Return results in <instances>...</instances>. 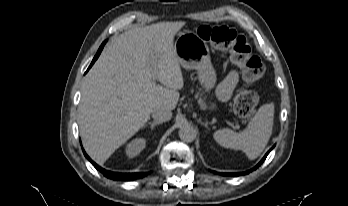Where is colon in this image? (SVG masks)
<instances>
[{
    "mask_svg": "<svg viewBox=\"0 0 348 206\" xmlns=\"http://www.w3.org/2000/svg\"><path fill=\"white\" fill-rule=\"evenodd\" d=\"M197 34L201 40L214 44L219 50L228 52L242 73L246 83L257 82L264 73L262 59L253 53L249 40L242 34L227 26L202 25ZM258 103L254 91L239 88L235 92L233 108L237 116L247 118L253 114Z\"/></svg>",
    "mask_w": 348,
    "mask_h": 206,
    "instance_id": "obj_1",
    "label": "colon"
}]
</instances>
